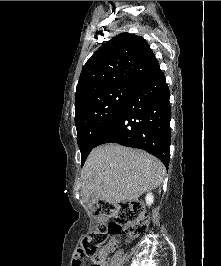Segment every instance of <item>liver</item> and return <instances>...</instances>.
<instances>
[{
  "instance_id": "1",
  "label": "liver",
  "mask_w": 221,
  "mask_h": 266,
  "mask_svg": "<svg viewBox=\"0 0 221 266\" xmlns=\"http://www.w3.org/2000/svg\"><path fill=\"white\" fill-rule=\"evenodd\" d=\"M166 169L145 151L109 143L89 154L82 170V194L93 191L108 202H127L160 186Z\"/></svg>"
}]
</instances>
